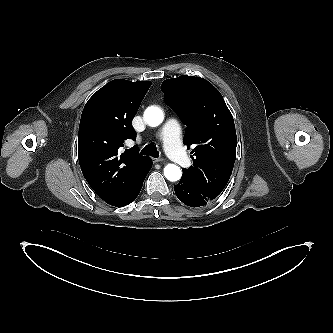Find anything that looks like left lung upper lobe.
Segmentation results:
<instances>
[{"instance_id": "obj_1", "label": "left lung upper lobe", "mask_w": 333, "mask_h": 333, "mask_svg": "<svg viewBox=\"0 0 333 333\" xmlns=\"http://www.w3.org/2000/svg\"><path fill=\"white\" fill-rule=\"evenodd\" d=\"M166 103L187 125L193 166L182 169L194 187L216 198L231 176L237 137L233 116L220 92L199 77L180 76L161 85Z\"/></svg>"}]
</instances>
